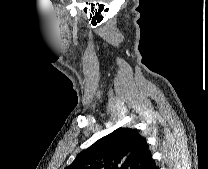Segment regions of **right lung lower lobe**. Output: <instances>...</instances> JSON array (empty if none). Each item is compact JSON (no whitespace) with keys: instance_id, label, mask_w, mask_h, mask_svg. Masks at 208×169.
I'll return each instance as SVG.
<instances>
[{"instance_id":"right-lung-lower-lobe-1","label":"right lung lower lobe","mask_w":208,"mask_h":169,"mask_svg":"<svg viewBox=\"0 0 208 169\" xmlns=\"http://www.w3.org/2000/svg\"><path fill=\"white\" fill-rule=\"evenodd\" d=\"M144 169H157L154 160L152 159Z\"/></svg>"}]
</instances>
